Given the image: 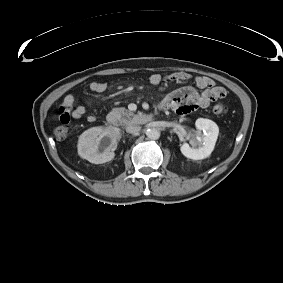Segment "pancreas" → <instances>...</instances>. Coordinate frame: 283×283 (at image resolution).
<instances>
[{"label":"pancreas","instance_id":"1","mask_svg":"<svg viewBox=\"0 0 283 283\" xmlns=\"http://www.w3.org/2000/svg\"><path fill=\"white\" fill-rule=\"evenodd\" d=\"M111 115L116 119L117 124L121 126L139 124L141 122L140 115H136L124 107L114 108Z\"/></svg>","mask_w":283,"mask_h":283}]
</instances>
